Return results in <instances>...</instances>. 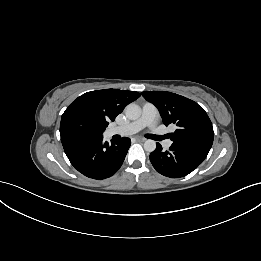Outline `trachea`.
<instances>
[{"instance_id": "3493384b", "label": "trachea", "mask_w": 261, "mask_h": 261, "mask_svg": "<svg viewBox=\"0 0 261 261\" xmlns=\"http://www.w3.org/2000/svg\"><path fill=\"white\" fill-rule=\"evenodd\" d=\"M154 139H156V140H159V139H161L162 137H158V136H152Z\"/></svg>"}]
</instances>
